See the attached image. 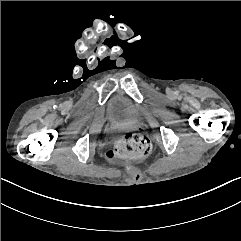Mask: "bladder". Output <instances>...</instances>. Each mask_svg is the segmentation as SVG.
<instances>
[{
	"instance_id": "31cf9c89",
	"label": "bladder",
	"mask_w": 241,
	"mask_h": 241,
	"mask_svg": "<svg viewBox=\"0 0 241 241\" xmlns=\"http://www.w3.org/2000/svg\"><path fill=\"white\" fill-rule=\"evenodd\" d=\"M109 117L114 123H133L137 121L138 114L127 97L118 95L110 102Z\"/></svg>"
}]
</instances>
